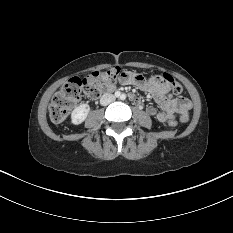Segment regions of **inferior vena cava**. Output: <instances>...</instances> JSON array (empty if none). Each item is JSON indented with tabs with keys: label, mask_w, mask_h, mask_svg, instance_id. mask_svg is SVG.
I'll list each match as a JSON object with an SVG mask.
<instances>
[{
	"label": "inferior vena cava",
	"mask_w": 233,
	"mask_h": 233,
	"mask_svg": "<svg viewBox=\"0 0 233 233\" xmlns=\"http://www.w3.org/2000/svg\"><path fill=\"white\" fill-rule=\"evenodd\" d=\"M115 100V96L113 94H103L100 98V104L103 106L108 105L109 103L113 102Z\"/></svg>",
	"instance_id": "inferior-vena-cava-1"
}]
</instances>
